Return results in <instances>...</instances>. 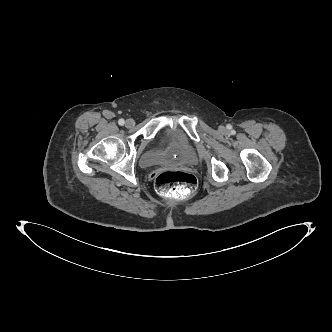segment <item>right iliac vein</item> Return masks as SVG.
Masks as SVG:
<instances>
[{"label":"right iliac vein","instance_id":"1","mask_svg":"<svg viewBox=\"0 0 332 332\" xmlns=\"http://www.w3.org/2000/svg\"><path fill=\"white\" fill-rule=\"evenodd\" d=\"M134 125H135V122H134L133 119H127V120H126L125 126H126L127 128H132Z\"/></svg>","mask_w":332,"mask_h":332}]
</instances>
